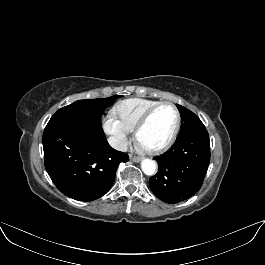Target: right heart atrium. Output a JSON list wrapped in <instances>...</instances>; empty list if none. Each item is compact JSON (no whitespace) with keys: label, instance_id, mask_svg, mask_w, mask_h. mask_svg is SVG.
<instances>
[{"label":"right heart atrium","instance_id":"d8ad5b80","mask_svg":"<svg viewBox=\"0 0 265 265\" xmlns=\"http://www.w3.org/2000/svg\"><path fill=\"white\" fill-rule=\"evenodd\" d=\"M103 129L110 136L113 146L124 150L128 143L131 130L127 128L113 113L103 118Z\"/></svg>","mask_w":265,"mask_h":265}]
</instances>
